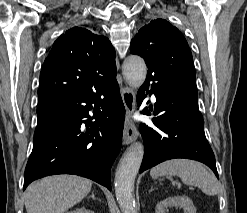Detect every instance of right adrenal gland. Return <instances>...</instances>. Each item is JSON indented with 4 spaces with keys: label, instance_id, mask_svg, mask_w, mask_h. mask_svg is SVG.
Segmentation results:
<instances>
[{
    "label": "right adrenal gland",
    "instance_id": "2a0ac1e0",
    "mask_svg": "<svg viewBox=\"0 0 247 213\" xmlns=\"http://www.w3.org/2000/svg\"><path fill=\"white\" fill-rule=\"evenodd\" d=\"M90 197L93 198V199H96V198H95V195H94V192H92V194H91Z\"/></svg>",
    "mask_w": 247,
    "mask_h": 213
}]
</instances>
